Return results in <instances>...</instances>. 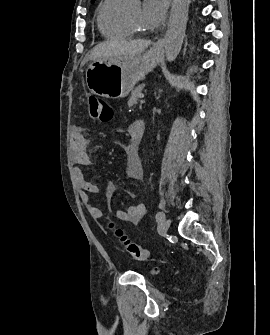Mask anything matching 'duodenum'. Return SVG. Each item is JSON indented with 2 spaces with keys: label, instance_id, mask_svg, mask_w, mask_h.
Wrapping results in <instances>:
<instances>
[{
  "label": "duodenum",
  "instance_id": "410a0bca",
  "mask_svg": "<svg viewBox=\"0 0 270 335\" xmlns=\"http://www.w3.org/2000/svg\"><path fill=\"white\" fill-rule=\"evenodd\" d=\"M145 131V124L143 121H137L136 127H135V135L138 139H141L143 137Z\"/></svg>",
  "mask_w": 270,
  "mask_h": 335
}]
</instances>
